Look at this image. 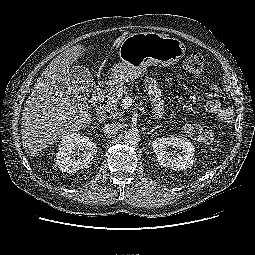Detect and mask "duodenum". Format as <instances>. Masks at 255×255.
Here are the masks:
<instances>
[{
  "label": "duodenum",
  "mask_w": 255,
  "mask_h": 255,
  "mask_svg": "<svg viewBox=\"0 0 255 255\" xmlns=\"http://www.w3.org/2000/svg\"><path fill=\"white\" fill-rule=\"evenodd\" d=\"M113 86L108 81H103L99 84L96 95H95V105H96V118L99 121H104L107 118V114L103 108V102L111 93Z\"/></svg>",
  "instance_id": "410a0bca"
}]
</instances>
